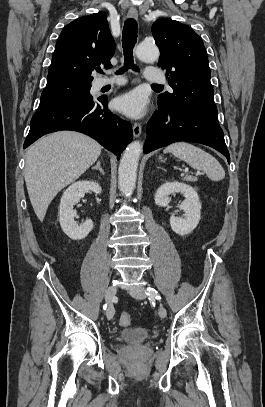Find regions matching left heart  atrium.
Returning a JSON list of instances; mask_svg holds the SVG:
<instances>
[{"mask_svg":"<svg viewBox=\"0 0 265 407\" xmlns=\"http://www.w3.org/2000/svg\"><path fill=\"white\" fill-rule=\"evenodd\" d=\"M114 107L131 118H140L146 113V97L134 90L116 98Z\"/></svg>","mask_w":265,"mask_h":407,"instance_id":"left-heart-atrium-1","label":"left heart atrium"}]
</instances>
